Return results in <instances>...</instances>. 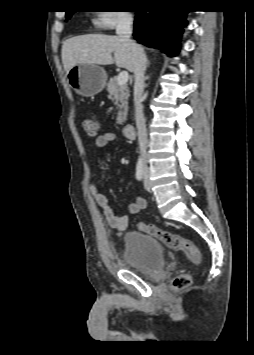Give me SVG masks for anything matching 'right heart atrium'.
<instances>
[{"instance_id": "right-heart-atrium-1", "label": "right heart atrium", "mask_w": 254, "mask_h": 355, "mask_svg": "<svg viewBox=\"0 0 254 355\" xmlns=\"http://www.w3.org/2000/svg\"><path fill=\"white\" fill-rule=\"evenodd\" d=\"M131 22L132 15L127 11L101 10L94 18L95 25L104 30L129 25Z\"/></svg>"}]
</instances>
